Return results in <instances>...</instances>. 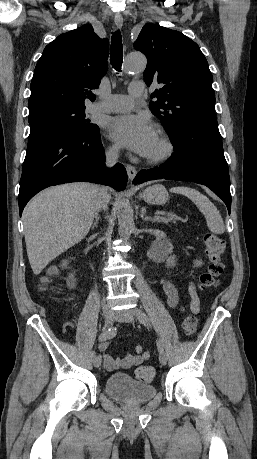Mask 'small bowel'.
Wrapping results in <instances>:
<instances>
[{
  "label": "small bowel",
  "instance_id": "c3829d8e",
  "mask_svg": "<svg viewBox=\"0 0 257 459\" xmlns=\"http://www.w3.org/2000/svg\"><path fill=\"white\" fill-rule=\"evenodd\" d=\"M202 265L200 259L195 261V266L199 267ZM160 284L164 291V294L167 299V304L170 309H179L183 310V307L180 305V297L177 288L173 282L165 276L160 277ZM188 293L191 297L190 309L193 313L198 314L200 312V300L196 293V288L194 282L190 281L188 284ZM108 347V342H103L99 345V350L105 351ZM150 357V352L145 350L143 346L137 345L134 348V354H128L125 357L114 359L109 354H104L103 360L105 368L108 371H114L119 368H130L132 366H138L146 361Z\"/></svg>",
  "mask_w": 257,
  "mask_h": 459
}]
</instances>
